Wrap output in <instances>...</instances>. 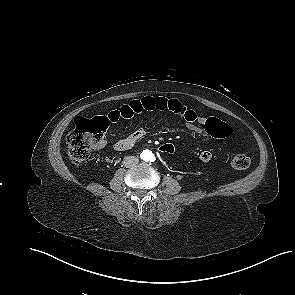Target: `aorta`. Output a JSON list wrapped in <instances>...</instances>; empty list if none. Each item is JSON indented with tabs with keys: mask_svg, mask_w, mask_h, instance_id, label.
<instances>
[{
	"mask_svg": "<svg viewBox=\"0 0 295 295\" xmlns=\"http://www.w3.org/2000/svg\"><path fill=\"white\" fill-rule=\"evenodd\" d=\"M142 159L146 162H153L155 160V156L151 151L146 150L142 153Z\"/></svg>",
	"mask_w": 295,
	"mask_h": 295,
	"instance_id": "1",
	"label": "aorta"
}]
</instances>
